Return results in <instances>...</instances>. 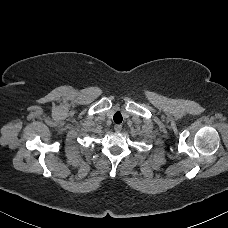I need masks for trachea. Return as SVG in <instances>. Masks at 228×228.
<instances>
[{
  "label": "trachea",
  "instance_id": "trachea-1",
  "mask_svg": "<svg viewBox=\"0 0 228 228\" xmlns=\"http://www.w3.org/2000/svg\"><path fill=\"white\" fill-rule=\"evenodd\" d=\"M122 114L120 112H116L113 116V120L115 123H121L122 122Z\"/></svg>",
  "mask_w": 228,
  "mask_h": 228
}]
</instances>
